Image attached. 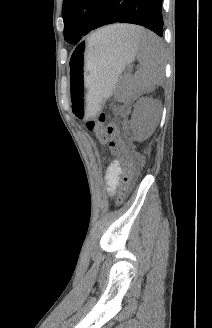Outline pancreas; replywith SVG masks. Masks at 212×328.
<instances>
[{"mask_svg":"<svg viewBox=\"0 0 212 328\" xmlns=\"http://www.w3.org/2000/svg\"><path fill=\"white\" fill-rule=\"evenodd\" d=\"M130 80H127V89L130 90L132 87H131V84H130Z\"/></svg>","mask_w":212,"mask_h":328,"instance_id":"cf45deb5","label":"pancreas"}]
</instances>
